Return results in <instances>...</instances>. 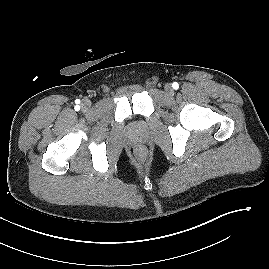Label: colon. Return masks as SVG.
<instances>
[{
	"mask_svg": "<svg viewBox=\"0 0 269 269\" xmlns=\"http://www.w3.org/2000/svg\"><path fill=\"white\" fill-rule=\"evenodd\" d=\"M138 155H139L140 158H143V156H144V151H143L142 149H139V151H138Z\"/></svg>",
	"mask_w": 269,
	"mask_h": 269,
	"instance_id": "obj_1",
	"label": "colon"
}]
</instances>
